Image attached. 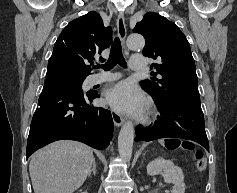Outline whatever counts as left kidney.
<instances>
[{
    "instance_id": "obj_1",
    "label": "left kidney",
    "mask_w": 237,
    "mask_h": 193,
    "mask_svg": "<svg viewBox=\"0 0 237 193\" xmlns=\"http://www.w3.org/2000/svg\"><path fill=\"white\" fill-rule=\"evenodd\" d=\"M147 174L154 176L162 174L164 180L168 183L174 184L171 193H184V174L181 168L175 166L170 160L163 158H156L147 165Z\"/></svg>"
}]
</instances>
